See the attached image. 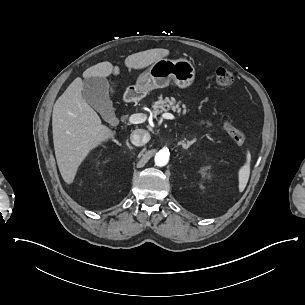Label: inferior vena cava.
Masks as SVG:
<instances>
[{"mask_svg":"<svg viewBox=\"0 0 305 305\" xmlns=\"http://www.w3.org/2000/svg\"><path fill=\"white\" fill-rule=\"evenodd\" d=\"M150 134L144 129H136L131 133L130 140L135 146H142L150 140Z\"/></svg>","mask_w":305,"mask_h":305,"instance_id":"1","label":"inferior vena cava"}]
</instances>
